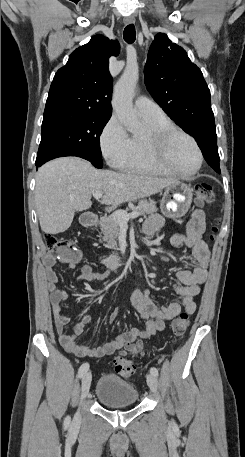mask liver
<instances>
[{
	"label": "liver",
	"mask_w": 245,
	"mask_h": 457,
	"mask_svg": "<svg viewBox=\"0 0 245 457\" xmlns=\"http://www.w3.org/2000/svg\"><path fill=\"white\" fill-rule=\"evenodd\" d=\"M176 178H156L143 172L99 170L91 162L64 156L54 158L38 168L35 204L41 231L49 235L64 233L76 210L90 208L95 190L104 192L102 204H120L160 192Z\"/></svg>",
	"instance_id": "6515ba94"
}]
</instances>
